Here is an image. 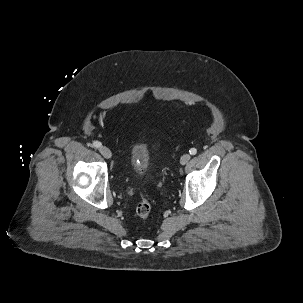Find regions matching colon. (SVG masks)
Returning a JSON list of instances; mask_svg holds the SVG:
<instances>
[{"instance_id": "colon-1", "label": "colon", "mask_w": 303, "mask_h": 303, "mask_svg": "<svg viewBox=\"0 0 303 303\" xmlns=\"http://www.w3.org/2000/svg\"><path fill=\"white\" fill-rule=\"evenodd\" d=\"M136 213L141 219L144 220H146L151 213V203L143 191L141 192V201L137 205Z\"/></svg>"}]
</instances>
